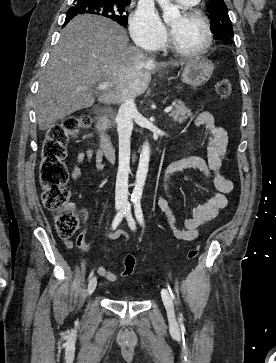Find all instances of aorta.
Returning <instances> with one entry per match:
<instances>
[{"label":"aorta","mask_w":276,"mask_h":363,"mask_svg":"<svg viewBox=\"0 0 276 363\" xmlns=\"http://www.w3.org/2000/svg\"><path fill=\"white\" fill-rule=\"evenodd\" d=\"M163 11V20L165 23H170L180 18L181 13L177 5H174L170 0H157ZM150 159V147L149 143H145L142 147L139 165L136 173L135 188L132 193L133 200H140L145 185V180L148 173Z\"/></svg>","instance_id":"762f6f07"}]
</instances>
